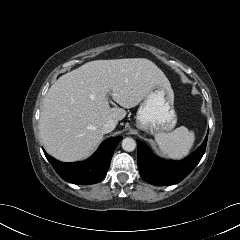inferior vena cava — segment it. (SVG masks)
<instances>
[{
  "label": "inferior vena cava",
  "instance_id": "1",
  "mask_svg": "<svg viewBox=\"0 0 240 240\" xmlns=\"http://www.w3.org/2000/svg\"><path fill=\"white\" fill-rule=\"evenodd\" d=\"M116 125H117V122L115 120L113 119L107 120L102 126L103 133H109L113 131Z\"/></svg>",
  "mask_w": 240,
  "mask_h": 240
}]
</instances>
